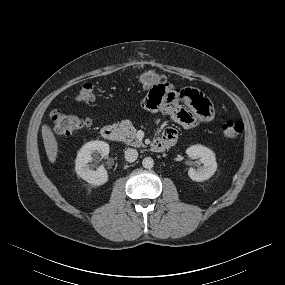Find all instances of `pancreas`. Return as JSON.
<instances>
[{
	"mask_svg": "<svg viewBox=\"0 0 285 285\" xmlns=\"http://www.w3.org/2000/svg\"><path fill=\"white\" fill-rule=\"evenodd\" d=\"M121 139L133 147H143L144 144L136 139V130L130 121H122L119 125Z\"/></svg>",
	"mask_w": 285,
	"mask_h": 285,
	"instance_id": "obj_1",
	"label": "pancreas"
}]
</instances>
